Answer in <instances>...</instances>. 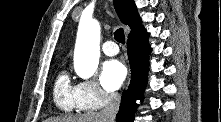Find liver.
Listing matches in <instances>:
<instances>
[{"instance_id": "obj_1", "label": "liver", "mask_w": 221, "mask_h": 122, "mask_svg": "<svg viewBox=\"0 0 221 122\" xmlns=\"http://www.w3.org/2000/svg\"><path fill=\"white\" fill-rule=\"evenodd\" d=\"M44 122H108V119L103 118L100 113L89 112L76 117L48 118Z\"/></svg>"}]
</instances>
